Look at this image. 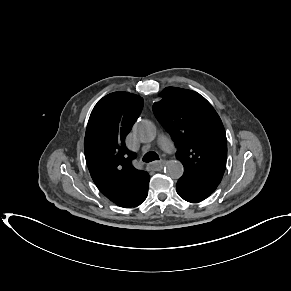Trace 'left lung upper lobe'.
<instances>
[{"instance_id":"obj_1","label":"left lung upper lobe","mask_w":291,"mask_h":291,"mask_svg":"<svg viewBox=\"0 0 291 291\" xmlns=\"http://www.w3.org/2000/svg\"><path fill=\"white\" fill-rule=\"evenodd\" d=\"M153 112L177 147L184 166L178 182L210 195L222 180L227 160V139L220 117L197 92L167 87Z\"/></svg>"}]
</instances>
